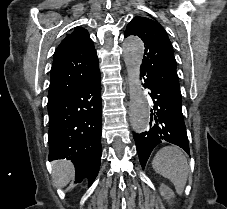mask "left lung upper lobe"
Returning a JSON list of instances; mask_svg holds the SVG:
<instances>
[{
    "label": "left lung upper lobe",
    "instance_id": "1",
    "mask_svg": "<svg viewBox=\"0 0 227 209\" xmlns=\"http://www.w3.org/2000/svg\"><path fill=\"white\" fill-rule=\"evenodd\" d=\"M135 35L145 46L141 75L160 88L181 97L176 60L172 44L164 28L156 21L143 16L134 17L127 25L125 38Z\"/></svg>",
    "mask_w": 227,
    "mask_h": 209
}]
</instances>
